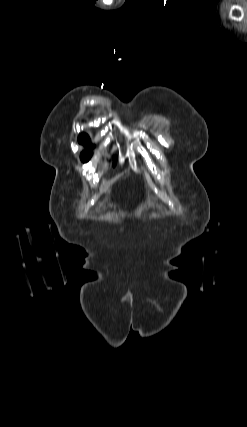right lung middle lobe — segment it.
I'll return each mask as SVG.
<instances>
[{"mask_svg":"<svg viewBox=\"0 0 247 427\" xmlns=\"http://www.w3.org/2000/svg\"><path fill=\"white\" fill-rule=\"evenodd\" d=\"M89 142H90V139H89V137H88L87 134H81L79 136V143L80 144L88 145ZM91 156H92V152L91 151L82 152V154H81V160L83 162H87L90 159Z\"/></svg>","mask_w":247,"mask_h":427,"instance_id":"right-lung-middle-lobe-1","label":"right lung middle lobe"}]
</instances>
